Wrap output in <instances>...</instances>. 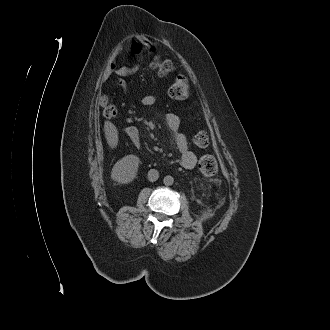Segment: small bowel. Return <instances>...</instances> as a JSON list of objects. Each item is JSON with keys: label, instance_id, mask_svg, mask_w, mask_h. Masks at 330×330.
Listing matches in <instances>:
<instances>
[{"label": "small bowel", "instance_id": "small-bowel-1", "mask_svg": "<svg viewBox=\"0 0 330 330\" xmlns=\"http://www.w3.org/2000/svg\"><path fill=\"white\" fill-rule=\"evenodd\" d=\"M126 46L135 54L138 55L141 52V47L139 43L134 39H129L126 41ZM119 56V51H116L112 54L109 59L107 72L109 74H117L118 76H127L132 75L137 71V65H133L131 67L121 66L118 67L116 64L117 57ZM118 84L121 87H126V82L123 79H120ZM154 103V98L151 96H147L143 98L144 105H152ZM166 124L169 130L174 134V139L176 146L180 152L179 161L181 165L186 169H192L197 161L196 155L190 151L188 147V142L183 133L180 132V119L175 114H167L166 116Z\"/></svg>", "mask_w": 330, "mask_h": 330}]
</instances>
